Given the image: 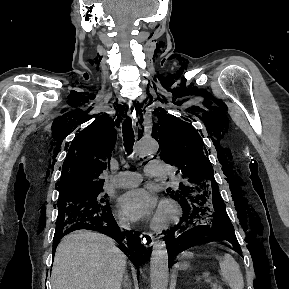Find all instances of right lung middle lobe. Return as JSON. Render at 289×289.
<instances>
[{
	"label": "right lung middle lobe",
	"instance_id": "right-lung-middle-lobe-1",
	"mask_svg": "<svg viewBox=\"0 0 289 289\" xmlns=\"http://www.w3.org/2000/svg\"><path fill=\"white\" fill-rule=\"evenodd\" d=\"M110 210L101 188L79 191L59 197L55 234L61 235L82 218L97 217Z\"/></svg>",
	"mask_w": 289,
	"mask_h": 289
}]
</instances>
